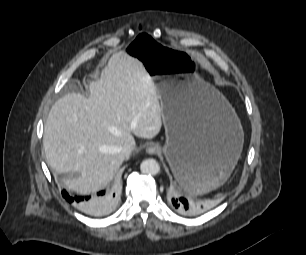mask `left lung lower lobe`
Masks as SVG:
<instances>
[{"label": "left lung lower lobe", "instance_id": "obj_1", "mask_svg": "<svg viewBox=\"0 0 306 255\" xmlns=\"http://www.w3.org/2000/svg\"><path fill=\"white\" fill-rule=\"evenodd\" d=\"M191 180V171L188 169L182 174V183L187 184L190 183ZM170 204L174 210L184 215H196L203 209L202 204L187 200L174 189L170 191Z\"/></svg>", "mask_w": 306, "mask_h": 255}]
</instances>
